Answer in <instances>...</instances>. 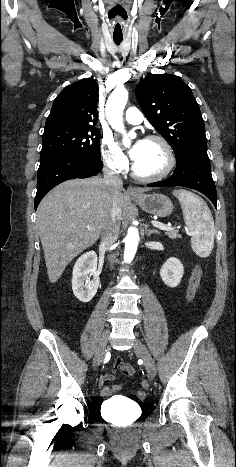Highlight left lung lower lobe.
Segmentation results:
<instances>
[{
  "label": "left lung lower lobe",
  "instance_id": "1",
  "mask_svg": "<svg viewBox=\"0 0 236 467\" xmlns=\"http://www.w3.org/2000/svg\"><path fill=\"white\" fill-rule=\"evenodd\" d=\"M149 187L184 186L206 195L214 206L217 204L216 187L211 175L210 160L206 147H198L187 152L177 161L173 175L163 181L148 184Z\"/></svg>",
  "mask_w": 236,
  "mask_h": 467
}]
</instances>
